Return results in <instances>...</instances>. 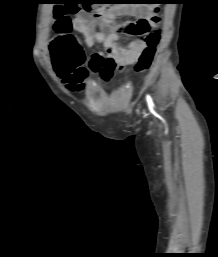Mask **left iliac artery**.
Listing matches in <instances>:
<instances>
[{
  "label": "left iliac artery",
  "mask_w": 218,
  "mask_h": 257,
  "mask_svg": "<svg viewBox=\"0 0 218 257\" xmlns=\"http://www.w3.org/2000/svg\"><path fill=\"white\" fill-rule=\"evenodd\" d=\"M146 99H147L148 106L152 109L154 107V103H153L151 96L147 95Z\"/></svg>",
  "instance_id": "44dca946"
}]
</instances>
